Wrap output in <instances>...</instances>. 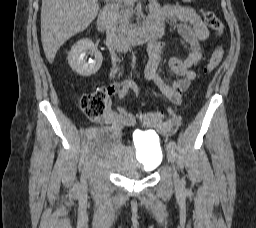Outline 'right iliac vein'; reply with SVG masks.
Listing matches in <instances>:
<instances>
[{
    "mask_svg": "<svg viewBox=\"0 0 256 228\" xmlns=\"http://www.w3.org/2000/svg\"><path fill=\"white\" fill-rule=\"evenodd\" d=\"M85 143L86 144H91L92 143V135L86 136L85 137ZM87 184V177L86 175H83L81 178V186L84 187Z\"/></svg>",
    "mask_w": 256,
    "mask_h": 228,
    "instance_id": "1",
    "label": "right iliac vein"
}]
</instances>
